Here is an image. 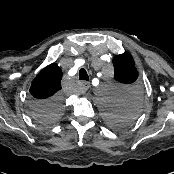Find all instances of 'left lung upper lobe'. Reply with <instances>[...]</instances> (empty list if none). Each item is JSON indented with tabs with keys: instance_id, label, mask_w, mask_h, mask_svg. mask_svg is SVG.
<instances>
[{
	"instance_id": "5c2ea615",
	"label": "left lung upper lobe",
	"mask_w": 174,
	"mask_h": 174,
	"mask_svg": "<svg viewBox=\"0 0 174 174\" xmlns=\"http://www.w3.org/2000/svg\"><path fill=\"white\" fill-rule=\"evenodd\" d=\"M115 79L122 83H133L138 78V71L134 65V60L129 53L116 55L113 58ZM128 102L124 106H114L106 118L108 122L117 129L125 128L133 122L136 117L135 106L138 101L137 95L127 98Z\"/></svg>"
}]
</instances>
